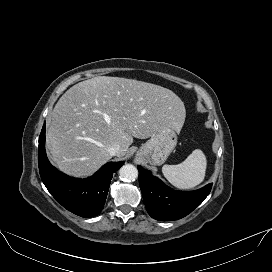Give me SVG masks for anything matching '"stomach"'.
<instances>
[{
    "label": "stomach",
    "instance_id": "0dacf381",
    "mask_svg": "<svg viewBox=\"0 0 272 272\" xmlns=\"http://www.w3.org/2000/svg\"><path fill=\"white\" fill-rule=\"evenodd\" d=\"M178 133L172 126L162 128L140 147L136 156L146 159L152 165H162L174 150Z\"/></svg>",
    "mask_w": 272,
    "mask_h": 272
}]
</instances>
